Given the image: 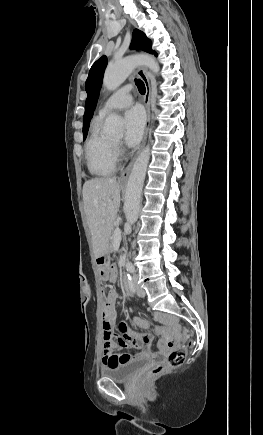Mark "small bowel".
Returning a JSON list of instances; mask_svg holds the SVG:
<instances>
[{
  "label": "small bowel",
  "instance_id": "1",
  "mask_svg": "<svg viewBox=\"0 0 263 435\" xmlns=\"http://www.w3.org/2000/svg\"><path fill=\"white\" fill-rule=\"evenodd\" d=\"M117 273V268L115 266H111L107 271L108 280L113 282L117 277ZM116 302L117 293L111 289L102 305V328H115L117 321ZM156 317L159 322L163 324L177 326V321L173 316L157 313ZM134 322L140 325L143 324V322L137 318L134 319ZM118 328L120 335H115L112 350H103L102 362L104 365L115 366L130 361L134 358H141L149 355V353L144 350L145 347L150 344L152 339L149 332L145 331L142 333V335H136L132 333L126 320L121 321ZM103 341L105 340L103 339ZM174 342L175 339L172 336H169L168 338H162L161 347L164 349H159V354H166V350H173ZM119 348H133L141 350V352L137 354L128 352L118 353L117 349Z\"/></svg>",
  "mask_w": 263,
  "mask_h": 435
}]
</instances>
